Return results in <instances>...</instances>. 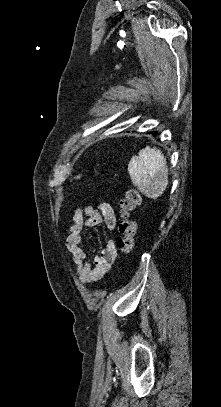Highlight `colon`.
Wrapping results in <instances>:
<instances>
[{"mask_svg": "<svg viewBox=\"0 0 221 407\" xmlns=\"http://www.w3.org/2000/svg\"><path fill=\"white\" fill-rule=\"evenodd\" d=\"M81 177L82 174H79L75 177V179L79 180ZM140 202V193L135 188L128 189L119 202L118 231L120 236L118 239V249L120 253L125 255L130 254L134 248L136 222L132 216V213Z\"/></svg>", "mask_w": 221, "mask_h": 407, "instance_id": "colon-1", "label": "colon"}]
</instances>
